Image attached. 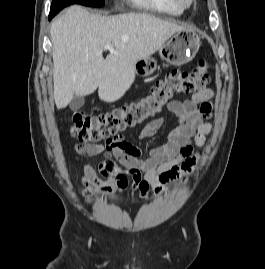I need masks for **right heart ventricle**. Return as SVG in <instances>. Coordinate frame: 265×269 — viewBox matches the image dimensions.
Returning a JSON list of instances; mask_svg holds the SVG:
<instances>
[{"instance_id": "1", "label": "right heart ventricle", "mask_w": 265, "mask_h": 269, "mask_svg": "<svg viewBox=\"0 0 265 269\" xmlns=\"http://www.w3.org/2000/svg\"><path fill=\"white\" fill-rule=\"evenodd\" d=\"M137 9L163 13L168 15H181L183 9L174 0H127Z\"/></svg>"}]
</instances>
